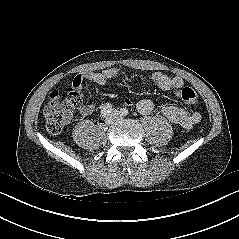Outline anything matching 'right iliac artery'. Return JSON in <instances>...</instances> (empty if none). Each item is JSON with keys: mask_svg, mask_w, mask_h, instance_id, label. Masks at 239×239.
I'll list each match as a JSON object with an SVG mask.
<instances>
[{"mask_svg": "<svg viewBox=\"0 0 239 239\" xmlns=\"http://www.w3.org/2000/svg\"><path fill=\"white\" fill-rule=\"evenodd\" d=\"M111 108H112V105L111 104H106V105H104L103 107H102V109H101V116L103 117V118H105L106 116H108L109 115V112H110V110H111Z\"/></svg>", "mask_w": 239, "mask_h": 239, "instance_id": "obj_1", "label": "right iliac artery"}]
</instances>
